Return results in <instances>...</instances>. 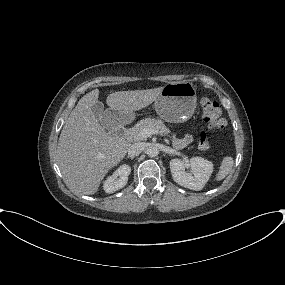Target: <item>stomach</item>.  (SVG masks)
Returning a JSON list of instances; mask_svg holds the SVG:
<instances>
[{
    "mask_svg": "<svg viewBox=\"0 0 285 285\" xmlns=\"http://www.w3.org/2000/svg\"><path fill=\"white\" fill-rule=\"evenodd\" d=\"M196 105V88L187 81L166 84L154 102L158 116L170 123L187 121L193 115ZM117 114L122 115L118 111Z\"/></svg>",
    "mask_w": 285,
    "mask_h": 285,
    "instance_id": "obj_1",
    "label": "stomach"
}]
</instances>
